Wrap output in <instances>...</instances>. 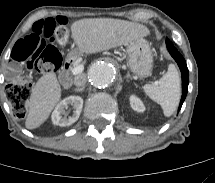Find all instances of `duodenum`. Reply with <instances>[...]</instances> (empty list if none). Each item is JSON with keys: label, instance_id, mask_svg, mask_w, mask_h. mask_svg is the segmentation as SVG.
I'll list each match as a JSON object with an SVG mask.
<instances>
[{"label": "duodenum", "instance_id": "410a0bca", "mask_svg": "<svg viewBox=\"0 0 215 183\" xmlns=\"http://www.w3.org/2000/svg\"><path fill=\"white\" fill-rule=\"evenodd\" d=\"M73 66V61L71 58H67L64 63L63 67L59 73V79L62 86L66 89L70 88L72 85V77L70 74V70Z\"/></svg>", "mask_w": 215, "mask_h": 183}]
</instances>
